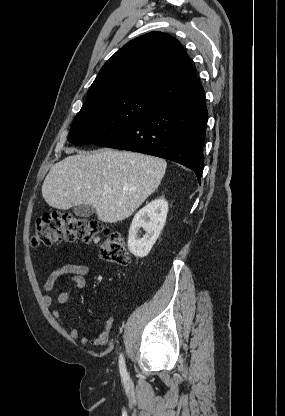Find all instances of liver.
I'll return each instance as SVG.
<instances>
[{
	"instance_id": "1",
	"label": "liver",
	"mask_w": 285,
	"mask_h": 416,
	"mask_svg": "<svg viewBox=\"0 0 285 416\" xmlns=\"http://www.w3.org/2000/svg\"><path fill=\"white\" fill-rule=\"evenodd\" d=\"M65 152L78 150L65 148ZM166 166L162 158L110 148L78 152L52 166L43 182L42 196L57 210L91 206L98 220L114 224L129 218L157 190Z\"/></svg>"
}]
</instances>
